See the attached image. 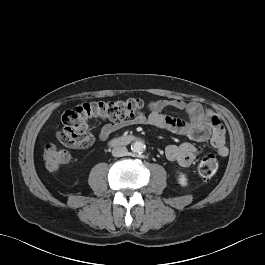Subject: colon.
Returning <instances> with one entry per match:
<instances>
[{"instance_id": "obj_1", "label": "colon", "mask_w": 265, "mask_h": 265, "mask_svg": "<svg viewBox=\"0 0 265 265\" xmlns=\"http://www.w3.org/2000/svg\"><path fill=\"white\" fill-rule=\"evenodd\" d=\"M145 103L142 99L131 98L120 101L91 102L72 107L62 115V127L57 132V138L65 145H85L91 136V122L102 118L118 122L135 118L142 114ZM213 125L220 122L213 119ZM44 161L47 170L57 171L70 160L68 151L54 145L44 148ZM219 163L214 154L204 155L199 162V172L204 177H210L218 171Z\"/></svg>"}]
</instances>
